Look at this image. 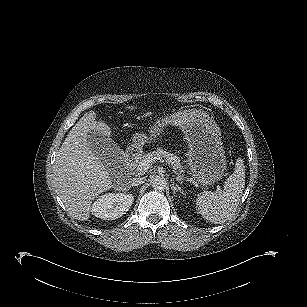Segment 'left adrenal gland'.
I'll return each instance as SVG.
<instances>
[{"mask_svg": "<svg viewBox=\"0 0 307 307\" xmlns=\"http://www.w3.org/2000/svg\"><path fill=\"white\" fill-rule=\"evenodd\" d=\"M171 189H172V191H173L174 194H176V192H179V193L185 195L184 191H183V190L181 189V187H179V185H177V184H174V183H173V184L171 185Z\"/></svg>", "mask_w": 307, "mask_h": 307, "instance_id": "left-adrenal-gland-1", "label": "left adrenal gland"}]
</instances>
